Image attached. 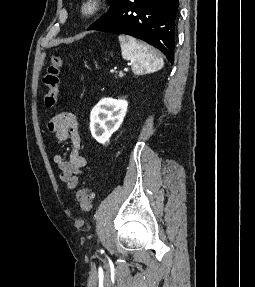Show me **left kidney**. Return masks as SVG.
<instances>
[{
	"label": "left kidney",
	"mask_w": 255,
	"mask_h": 287,
	"mask_svg": "<svg viewBox=\"0 0 255 287\" xmlns=\"http://www.w3.org/2000/svg\"><path fill=\"white\" fill-rule=\"evenodd\" d=\"M127 100L103 98L90 114V130L98 142H109L113 132L120 128L127 112Z\"/></svg>",
	"instance_id": "left-kidney-1"
}]
</instances>
